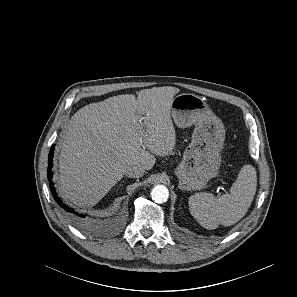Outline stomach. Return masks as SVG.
Listing matches in <instances>:
<instances>
[{
  "label": "stomach",
  "instance_id": "1",
  "mask_svg": "<svg viewBox=\"0 0 297 297\" xmlns=\"http://www.w3.org/2000/svg\"><path fill=\"white\" fill-rule=\"evenodd\" d=\"M170 114L180 128L195 125L191 143L185 149L175 174L181 190H200L220 168L224 125L201 97L190 93L172 99Z\"/></svg>",
  "mask_w": 297,
  "mask_h": 297
}]
</instances>
